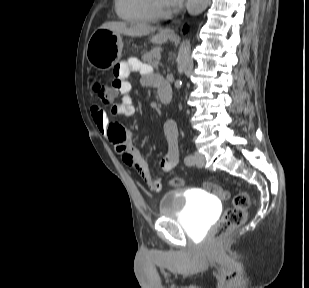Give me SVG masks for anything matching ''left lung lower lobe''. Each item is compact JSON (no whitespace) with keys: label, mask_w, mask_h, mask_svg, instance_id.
<instances>
[{"label":"left lung lower lobe","mask_w":309,"mask_h":288,"mask_svg":"<svg viewBox=\"0 0 309 288\" xmlns=\"http://www.w3.org/2000/svg\"><path fill=\"white\" fill-rule=\"evenodd\" d=\"M186 30H187V28H186V27H184V32H186Z\"/></svg>","instance_id":"0a47b994"}]
</instances>
